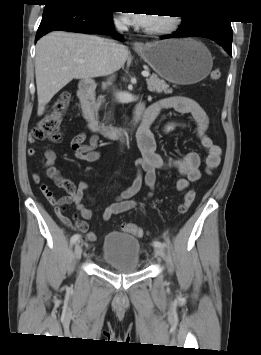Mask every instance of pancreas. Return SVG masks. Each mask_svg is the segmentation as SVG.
I'll use <instances>...</instances> for the list:
<instances>
[{"label":"pancreas","mask_w":261,"mask_h":355,"mask_svg":"<svg viewBox=\"0 0 261 355\" xmlns=\"http://www.w3.org/2000/svg\"><path fill=\"white\" fill-rule=\"evenodd\" d=\"M147 88L150 92L171 94L173 92L172 89L169 88V85L162 79H160L157 75H152L149 79H146ZM103 102V97L100 96L97 100L96 106L99 108L101 103Z\"/></svg>","instance_id":"cf45deb5"}]
</instances>
